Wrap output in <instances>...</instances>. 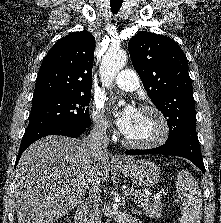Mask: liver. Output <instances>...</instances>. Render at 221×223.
Wrapping results in <instances>:
<instances>
[{
	"instance_id": "obj_1",
	"label": "liver",
	"mask_w": 221,
	"mask_h": 223,
	"mask_svg": "<svg viewBox=\"0 0 221 223\" xmlns=\"http://www.w3.org/2000/svg\"><path fill=\"white\" fill-rule=\"evenodd\" d=\"M85 139L51 135L22 154L14 178L18 223H54L81 203L93 180H107L108 153L95 168Z\"/></svg>"
}]
</instances>
